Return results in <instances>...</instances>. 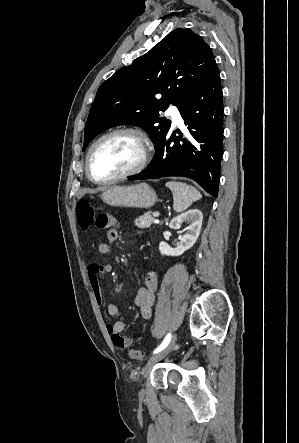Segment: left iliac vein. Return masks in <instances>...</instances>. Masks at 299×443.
Wrapping results in <instances>:
<instances>
[{
	"mask_svg": "<svg viewBox=\"0 0 299 443\" xmlns=\"http://www.w3.org/2000/svg\"><path fill=\"white\" fill-rule=\"evenodd\" d=\"M176 335L173 336V338L171 339V341L169 342V344L162 349L161 351H159L158 353H155L154 355H152L148 361L146 362V365L144 366L143 370H142V375L144 378H146L152 367L160 360H162L166 355H168L171 350L174 348L175 343H176Z\"/></svg>",
	"mask_w": 299,
	"mask_h": 443,
	"instance_id": "obj_1",
	"label": "left iliac vein"
}]
</instances>
